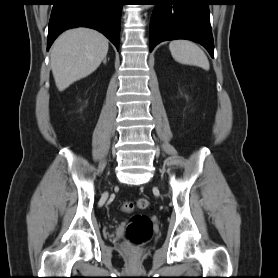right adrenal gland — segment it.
Segmentation results:
<instances>
[{"label":"right adrenal gland","mask_w":278,"mask_h":278,"mask_svg":"<svg viewBox=\"0 0 278 278\" xmlns=\"http://www.w3.org/2000/svg\"><path fill=\"white\" fill-rule=\"evenodd\" d=\"M106 62H107V59L105 58L104 61H103V63L106 64Z\"/></svg>","instance_id":"1"}]
</instances>
